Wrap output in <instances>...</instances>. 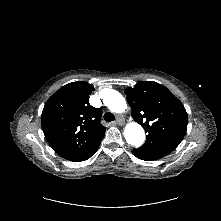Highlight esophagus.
I'll return each instance as SVG.
<instances>
[{
	"label": "esophagus",
	"instance_id": "34e87169",
	"mask_svg": "<svg viewBox=\"0 0 221 221\" xmlns=\"http://www.w3.org/2000/svg\"><path fill=\"white\" fill-rule=\"evenodd\" d=\"M115 122H116L117 125H123L124 124V120L121 117H117Z\"/></svg>",
	"mask_w": 221,
	"mask_h": 221
}]
</instances>
